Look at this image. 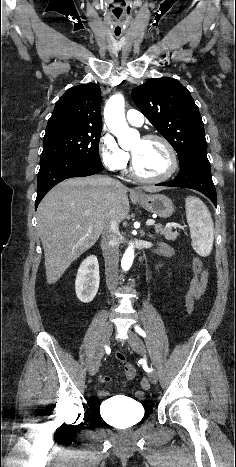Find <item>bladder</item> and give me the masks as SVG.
Listing matches in <instances>:
<instances>
[{"label":"bladder","mask_w":236,"mask_h":467,"mask_svg":"<svg viewBox=\"0 0 236 467\" xmlns=\"http://www.w3.org/2000/svg\"><path fill=\"white\" fill-rule=\"evenodd\" d=\"M143 405L125 397H115L104 400L99 410L109 423L119 429L136 425L144 416Z\"/></svg>","instance_id":"31cf9c89"}]
</instances>
